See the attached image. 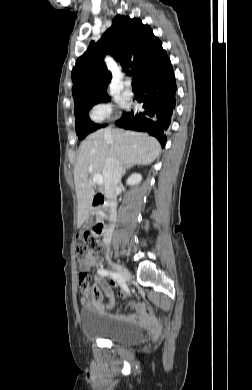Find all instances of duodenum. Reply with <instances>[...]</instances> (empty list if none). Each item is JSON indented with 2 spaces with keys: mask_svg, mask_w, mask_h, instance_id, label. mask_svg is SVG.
Instances as JSON below:
<instances>
[{
  "mask_svg": "<svg viewBox=\"0 0 252 390\" xmlns=\"http://www.w3.org/2000/svg\"><path fill=\"white\" fill-rule=\"evenodd\" d=\"M92 205L95 209L99 207H104L106 205L105 195L102 192L95 193L93 196ZM111 219H112V212L109 209L105 214V218L97 221L94 230L98 234H102L103 236H106Z\"/></svg>",
  "mask_w": 252,
  "mask_h": 390,
  "instance_id": "1",
  "label": "duodenum"
}]
</instances>
